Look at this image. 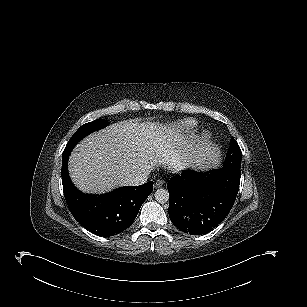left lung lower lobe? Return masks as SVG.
I'll use <instances>...</instances> for the list:
<instances>
[{
    "mask_svg": "<svg viewBox=\"0 0 307 307\" xmlns=\"http://www.w3.org/2000/svg\"><path fill=\"white\" fill-rule=\"evenodd\" d=\"M240 178V169L226 165L212 172L186 170L173 176L167 183L171 221L187 234H207L230 212Z\"/></svg>",
    "mask_w": 307,
    "mask_h": 307,
    "instance_id": "obj_1",
    "label": "left lung lower lobe"
}]
</instances>
